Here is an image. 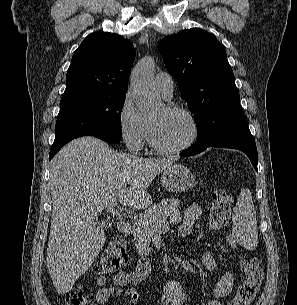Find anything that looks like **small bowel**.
Returning <instances> with one entry per match:
<instances>
[{"label":"small bowel","mask_w":297,"mask_h":305,"mask_svg":"<svg viewBox=\"0 0 297 305\" xmlns=\"http://www.w3.org/2000/svg\"><path fill=\"white\" fill-rule=\"evenodd\" d=\"M202 215L201 208L196 205L187 207L183 220L178 228V235L181 237L189 236L193 231L195 221ZM226 241L232 246H239L240 239L238 235L230 232L226 236ZM199 248H194L198 250ZM203 262L208 269L216 268V259L214 252L210 250H200ZM151 272V264L149 260L143 259L139 261L132 272L120 271L112 276V281L116 286H104V279L100 278L98 284L100 288L94 295V305H104L108 301L115 298H126L128 305H137L139 295L137 291L131 287L144 280ZM235 277L232 274H226L220 277L213 286L211 298L203 303V305H221L222 301L227 298L234 287ZM161 305H187V295L180 281L171 279L166 282L164 292L160 300Z\"/></svg>","instance_id":"small-bowel-1"}]
</instances>
